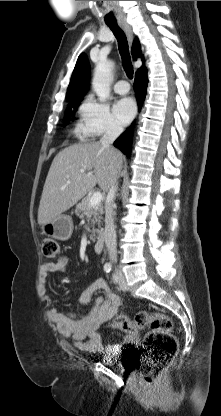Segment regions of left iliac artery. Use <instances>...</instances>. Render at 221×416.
Segmentation results:
<instances>
[{
	"mask_svg": "<svg viewBox=\"0 0 221 416\" xmlns=\"http://www.w3.org/2000/svg\"><path fill=\"white\" fill-rule=\"evenodd\" d=\"M113 279H114V281H117V276L114 275L113 276Z\"/></svg>",
	"mask_w": 221,
	"mask_h": 416,
	"instance_id": "44dca946",
	"label": "left iliac artery"
}]
</instances>
